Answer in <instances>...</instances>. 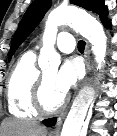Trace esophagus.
<instances>
[{"instance_id": "34e87169", "label": "esophagus", "mask_w": 117, "mask_h": 136, "mask_svg": "<svg viewBox=\"0 0 117 136\" xmlns=\"http://www.w3.org/2000/svg\"><path fill=\"white\" fill-rule=\"evenodd\" d=\"M84 56H85V63H86V73H87V75H88L89 72H90V70H91L90 49H89V44H88V43L86 44L85 55H84ZM87 75H86V78H87ZM86 78H85V79H86ZM66 114H67V112H64V113H62V114L58 117L57 122H56V125H55V127L52 129V131H51V134H52L53 136H58V134H59V132H60L61 125H62V122H63V120H64L65 117H66Z\"/></svg>"}]
</instances>
